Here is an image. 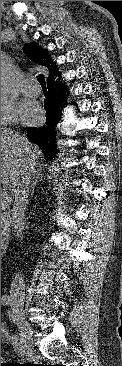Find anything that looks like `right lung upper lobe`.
<instances>
[{"mask_svg":"<svg viewBox=\"0 0 122 366\" xmlns=\"http://www.w3.org/2000/svg\"><path fill=\"white\" fill-rule=\"evenodd\" d=\"M24 51L32 61L50 69L49 72L51 75L48 82L53 81V76H59V73H57L56 70V65L52 63V60L48 58L47 53H45L41 47L37 46L35 43H27L24 47Z\"/></svg>","mask_w":122,"mask_h":366,"instance_id":"1","label":"right lung upper lobe"}]
</instances>
